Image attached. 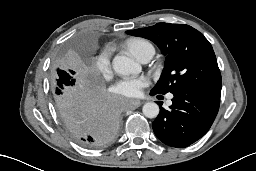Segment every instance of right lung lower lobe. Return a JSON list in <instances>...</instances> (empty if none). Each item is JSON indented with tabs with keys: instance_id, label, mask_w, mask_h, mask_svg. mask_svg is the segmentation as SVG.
Here are the masks:
<instances>
[{
	"instance_id": "1",
	"label": "right lung lower lobe",
	"mask_w": 256,
	"mask_h": 171,
	"mask_svg": "<svg viewBox=\"0 0 256 171\" xmlns=\"http://www.w3.org/2000/svg\"><path fill=\"white\" fill-rule=\"evenodd\" d=\"M56 108L65 128L84 147L107 145L119 132L122 119L118 105L103 86L87 87Z\"/></svg>"
}]
</instances>
